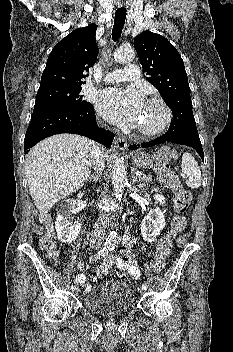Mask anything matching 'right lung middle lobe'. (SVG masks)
Instances as JSON below:
<instances>
[{
    "label": "right lung middle lobe",
    "mask_w": 233,
    "mask_h": 352,
    "mask_svg": "<svg viewBox=\"0 0 233 352\" xmlns=\"http://www.w3.org/2000/svg\"><path fill=\"white\" fill-rule=\"evenodd\" d=\"M81 89V85H46L39 87L33 112L90 106L91 103L82 99Z\"/></svg>",
    "instance_id": "1"
}]
</instances>
